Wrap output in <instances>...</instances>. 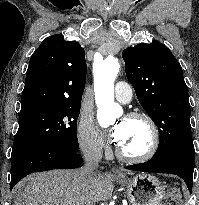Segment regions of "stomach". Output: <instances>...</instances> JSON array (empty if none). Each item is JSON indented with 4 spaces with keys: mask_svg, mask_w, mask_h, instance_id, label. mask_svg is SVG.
Masks as SVG:
<instances>
[{
    "mask_svg": "<svg viewBox=\"0 0 199 205\" xmlns=\"http://www.w3.org/2000/svg\"><path fill=\"white\" fill-rule=\"evenodd\" d=\"M127 190L131 205H161L165 195V188L158 178L149 174H138L128 178H118Z\"/></svg>",
    "mask_w": 199,
    "mask_h": 205,
    "instance_id": "stomach-1",
    "label": "stomach"
}]
</instances>
